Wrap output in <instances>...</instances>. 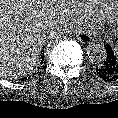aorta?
I'll return each mask as SVG.
<instances>
[{"label": "aorta", "mask_w": 118, "mask_h": 118, "mask_svg": "<svg viewBox=\"0 0 118 118\" xmlns=\"http://www.w3.org/2000/svg\"><path fill=\"white\" fill-rule=\"evenodd\" d=\"M86 50L89 60L93 63H102L106 59V49L99 43L89 44Z\"/></svg>", "instance_id": "762f6f07"}]
</instances>
